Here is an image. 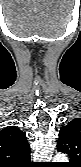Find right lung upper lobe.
Masks as SVG:
<instances>
[{
    "instance_id": "1",
    "label": "right lung upper lobe",
    "mask_w": 81,
    "mask_h": 167,
    "mask_svg": "<svg viewBox=\"0 0 81 167\" xmlns=\"http://www.w3.org/2000/svg\"><path fill=\"white\" fill-rule=\"evenodd\" d=\"M30 146L19 128L10 126L0 131V167H29Z\"/></svg>"
}]
</instances>
